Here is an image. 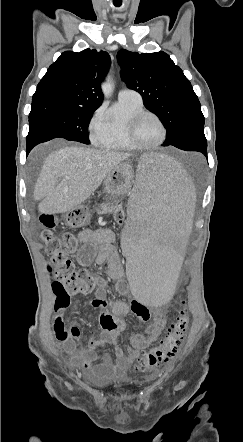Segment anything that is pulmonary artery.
Wrapping results in <instances>:
<instances>
[{
    "label": "pulmonary artery",
    "mask_w": 243,
    "mask_h": 442,
    "mask_svg": "<svg viewBox=\"0 0 243 442\" xmlns=\"http://www.w3.org/2000/svg\"><path fill=\"white\" fill-rule=\"evenodd\" d=\"M118 97L122 100L142 101V97L137 91L127 88L122 89Z\"/></svg>",
    "instance_id": "pulmonary-artery-1"
}]
</instances>
